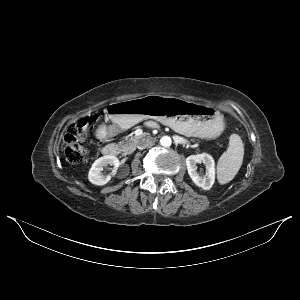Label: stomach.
I'll use <instances>...</instances> for the list:
<instances>
[{
  "instance_id": "0dacf381",
  "label": "stomach",
  "mask_w": 300,
  "mask_h": 300,
  "mask_svg": "<svg viewBox=\"0 0 300 300\" xmlns=\"http://www.w3.org/2000/svg\"><path fill=\"white\" fill-rule=\"evenodd\" d=\"M106 113L113 125L126 130L145 119H155L188 136L219 137L225 128L221 113L209 106L181 98L147 95L111 103Z\"/></svg>"
}]
</instances>
